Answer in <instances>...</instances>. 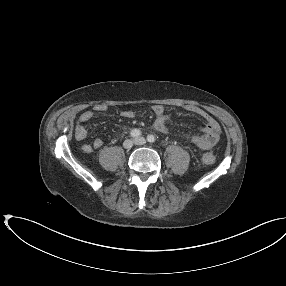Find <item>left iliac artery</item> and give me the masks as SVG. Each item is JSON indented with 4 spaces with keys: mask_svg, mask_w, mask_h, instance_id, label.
<instances>
[{
    "mask_svg": "<svg viewBox=\"0 0 286 286\" xmlns=\"http://www.w3.org/2000/svg\"><path fill=\"white\" fill-rule=\"evenodd\" d=\"M147 140H148V142H150V143H154V142L156 141V138H155L154 135H148V136H147Z\"/></svg>",
    "mask_w": 286,
    "mask_h": 286,
    "instance_id": "obj_1",
    "label": "left iliac artery"
}]
</instances>
